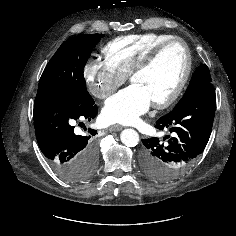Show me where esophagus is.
<instances>
[{"label":"esophagus","mask_w":236,"mask_h":236,"mask_svg":"<svg viewBox=\"0 0 236 236\" xmlns=\"http://www.w3.org/2000/svg\"><path fill=\"white\" fill-rule=\"evenodd\" d=\"M123 129V126L115 124L109 127V131H120Z\"/></svg>","instance_id":"esophagus-1"}]
</instances>
